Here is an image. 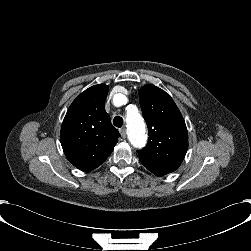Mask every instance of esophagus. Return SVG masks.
Here are the masks:
<instances>
[{"mask_svg":"<svg viewBox=\"0 0 251 251\" xmlns=\"http://www.w3.org/2000/svg\"><path fill=\"white\" fill-rule=\"evenodd\" d=\"M120 135H121V137H122L123 139L126 138V129H125V128L120 129Z\"/></svg>","mask_w":251,"mask_h":251,"instance_id":"obj_1","label":"esophagus"}]
</instances>
